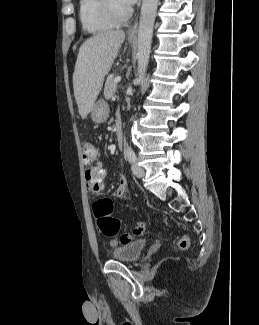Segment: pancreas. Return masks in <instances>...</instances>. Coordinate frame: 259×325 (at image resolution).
I'll return each mask as SVG.
<instances>
[{"mask_svg": "<svg viewBox=\"0 0 259 325\" xmlns=\"http://www.w3.org/2000/svg\"><path fill=\"white\" fill-rule=\"evenodd\" d=\"M117 90V85L114 83V75H109L106 79L105 88H104V97L110 99L115 95Z\"/></svg>", "mask_w": 259, "mask_h": 325, "instance_id": "pancreas-1", "label": "pancreas"}]
</instances>
